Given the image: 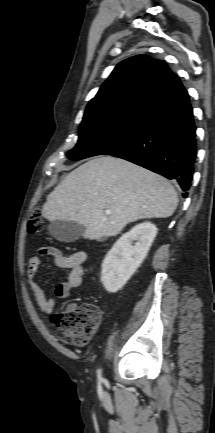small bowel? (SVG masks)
<instances>
[{
	"label": "small bowel",
	"instance_id": "1",
	"mask_svg": "<svg viewBox=\"0 0 215 433\" xmlns=\"http://www.w3.org/2000/svg\"><path fill=\"white\" fill-rule=\"evenodd\" d=\"M40 253L49 257L53 265L57 268L68 271L65 281L55 287V295L61 299L70 297L71 292L82 283L84 264L88 258L87 252L80 250L69 255H64L56 247L43 246L40 248ZM39 267V258L37 256H31L27 262L28 282L40 309L44 312H50L55 307V302L45 294L37 280ZM71 308H73V306H71Z\"/></svg>",
	"mask_w": 215,
	"mask_h": 433
}]
</instances>
